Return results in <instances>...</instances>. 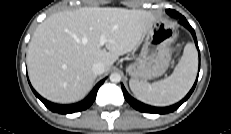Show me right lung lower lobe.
I'll use <instances>...</instances> for the list:
<instances>
[{
  "instance_id": "right-lung-lower-lobe-1",
  "label": "right lung lower lobe",
  "mask_w": 231,
  "mask_h": 134,
  "mask_svg": "<svg viewBox=\"0 0 231 134\" xmlns=\"http://www.w3.org/2000/svg\"><path fill=\"white\" fill-rule=\"evenodd\" d=\"M103 82H104V80L100 81L94 87V89L89 94V96L87 98H85L83 101L76 103V104H72V105H58V104L51 103V102L43 99L40 95H38L36 93V91L32 87L31 88H32V91L34 92V94L37 96V98H39L43 102V104L47 108H49L51 111L57 112L60 114H69V113L79 112V111L85 110L89 106H91V104L94 102V100L96 98L97 91Z\"/></svg>"
}]
</instances>
